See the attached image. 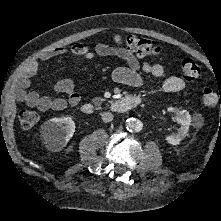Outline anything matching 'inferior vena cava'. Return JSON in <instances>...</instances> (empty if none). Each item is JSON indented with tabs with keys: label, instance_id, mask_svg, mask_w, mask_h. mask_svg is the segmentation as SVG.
<instances>
[{
	"label": "inferior vena cava",
	"instance_id": "602c4592",
	"mask_svg": "<svg viewBox=\"0 0 221 221\" xmlns=\"http://www.w3.org/2000/svg\"><path fill=\"white\" fill-rule=\"evenodd\" d=\"M113 114L111 112H103L101 118L104 122H111L113 120Z\"/></svg>",
	"mask_w": 221,
	"mask_h": 221
}]
</instances>
